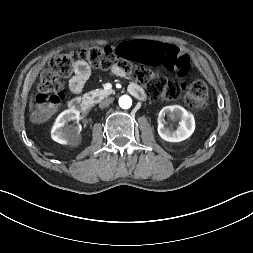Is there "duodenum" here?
<instances>
[{
	"instance_id": "duodenum-1",
	"label": "duodenum",
	"mask_w": 253,
	"mask_h": 253,
	"mask_svg": "<svg viewBox=\"0 0 253 253\" xmlns=\"http://www.w3.org/2000/svg\"><path fill=\"white\" fill-rule=\"evenodd\" d=\"M129 91L138 99H143L145 96L143 90L137 85H131L129 87ZM93 105L94 98L92 97H75L69 103V106L72 110L78 111L80 113L89 112Z\"/></svg>"
}]
</instances>
